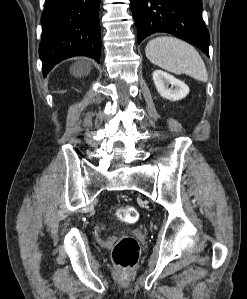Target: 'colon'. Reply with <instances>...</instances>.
Returning a JSON list of instances; mask_svg holds the SVG:
<instances>
[{"instance_id":"colon-1","label":"colon","mask_w":247,"mask_h":299,"mask_svg":"<svg viewBox=\"0 0 247 299\" xmlns=\"http://www.w3.org/2000/svg\"><path fill=\"white\" fill-rule=\"evenodd\" d=\"M117 218L124 223L131 224L138 220V212L133 206L125 205L118 208ZM139 243L131 236L120 238L112 251L114 263L123 270L134 267L139 257Z\"/></svg>"}]
</instances>
